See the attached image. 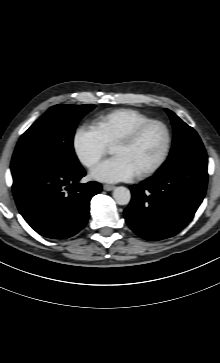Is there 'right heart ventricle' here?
Listing matches in <instances>:
<instances>
[{
  "label": "right heart ventricle",
  "mask_w": 220,
  "mask_h": 363,
  "mask_svg": "<svg viewBox=\"0 0 220 363\" xmlns=\"http://www.w3.org/2000/svg\"><path fill=\"white\" fill-rule=\"evenodd\" d=\"M149 120V116L136 109L124 108L98 117L95 125L105 143L113 145L119 137Z\"/></svg>",
  "instance_id": "obj_1"
}]
</instances>
